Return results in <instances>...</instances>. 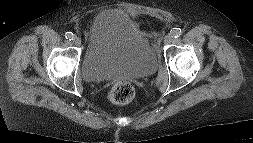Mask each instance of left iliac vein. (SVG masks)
Listing matches in <instances>:
<instances>
[{
	"mask_svg": "<svg viewBox=\"0 0 253 143\" xmlns=\"http://www.w3.org/2000/svg\"><path fill=\"white\" fill-rule=\"evenodd\" d=\"M172 40H173V37H172L171 34H168V35H166V36L164 37V43H165V44H170V43L172 42Z\"/></svg>",
	"mask_w": 253,
	"mask_h": 143,
	"instance_id": "1",
	"label": "left iliac vein"
}]
</instances>
